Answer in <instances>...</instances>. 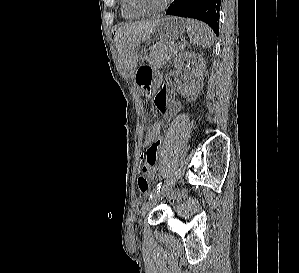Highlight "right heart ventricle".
Masks as SVG:
<instances>
[{"instance_id":"right-heart-ventricle-1","label":"right heart ventricle","mask_w":299,"mask_h":273,"mask_svg":"<svg viewBox=\"0 0 299 273\" xmlns=\"http://www.w3.org/2000/svg\"><path fill=\"white\" fill-rule=\"evenodd\" d=\"M120 14L124 19L130 21L137 20L141 17L140 15L134 14L127 8L125 0H120Z\"/></svg>"}]
</instances>
